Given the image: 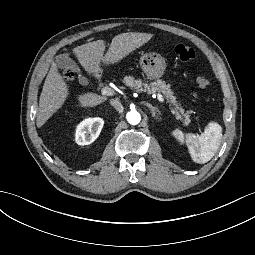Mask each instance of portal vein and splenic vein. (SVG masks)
I'll use <instances>...</instances> for the list:
<instances>
[{
	"label": "portal vein and splenic vein",
	"mask_w": 255,
	"mask_h": 255,
	"mask_svg": "<svg viewBox=\"0 0 255 255\" xmlns=\"http://www.w3.org/2000/svg\"><path fill=\"white\" fill-rule=\"evenodd\" d=\"M101 92H102L103 95H107V96H112V95H113V90H112L111 88H109V87H104V88H102ZM154 95H155V94H154ZM155 96H157V99H158L160 102H163V101H164L162 94L158 93V94L155 95Z\"/></svg>",
	"instance_id": "obj_1"
}]
</instances>
